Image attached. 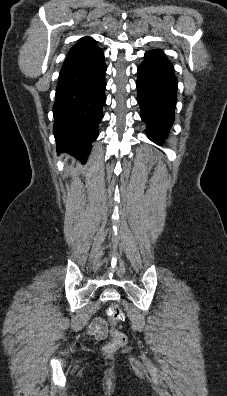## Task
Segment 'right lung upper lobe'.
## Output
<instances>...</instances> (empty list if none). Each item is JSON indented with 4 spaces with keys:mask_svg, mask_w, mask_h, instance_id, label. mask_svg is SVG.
Instances as JSON below:
<instances>
[{
    "mask_svg": "<svg viewBox=\"0 0 227 396\" xmlns=\"http://www.w3.org/2000/svg\"><path fill=\"white\" fill-rule=\"evenodd\" d=\"M90 41H94L92 38H90V37H85V38H82V39H80L79 41H78V43H81V42H90Z\"/></svg>",
    "mask_w": 227,
    "mask_h": 396,
    "instance_id": "right-lung-upper-lobe-1",
    "label": "right lung upper lobe"
}]
</instances>
